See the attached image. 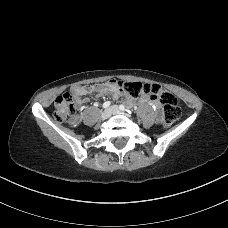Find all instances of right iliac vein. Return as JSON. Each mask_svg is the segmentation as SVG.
Segmentation results:
<instances>
[{
	"label": "right iliac vein",
	"instance_id": "right-iliac-vein-1",
	"mask_svg": "<svg viewBox=\"0 0 228 228\" xmlns=\"http://www.w3.org/2000/svg\"><path fill=\"white\" fill-rule=\"evenodd\" d=\"M110 116H111V110H110V109L104 110V111L102 112V114H101V118H102L103 120H106V119L110 118Z\"/></svg>",
	"mask_w": 228,
	"mask_h": 228
}]
</instances>
